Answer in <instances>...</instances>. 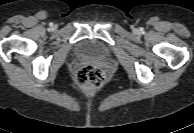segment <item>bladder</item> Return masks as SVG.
Segmentation results:
<instances>
[{
	"instance_id": "1",
	"label": "bladder",
	"mask_w": 194,
	"mask_h": 133,
	"mask_svg": "<svg viewBox=\"0 0 194 133\" xmlns=\"http://www.w3.org/2000/svg\"><path fill=\"white\" fill-rule=\"evenodd\" d=\"M75 53L82 57L104 58L109 54L107 46L97 39H83L75 45Z\"/></svg>"
}]
</instances>
